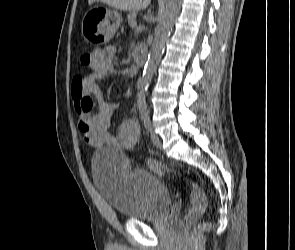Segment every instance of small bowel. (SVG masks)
Returning a JSON list of instances; mask_svg holds the SVG:
<instances>
[{
  "label": "small bowel",
  "instance_id": "small-bowel-1",
  "mask_svg": "<svg viewBox=\"0 0 295 250\" xmlns=\"http://www.w3.org/2000/svg\"><path fill=\"white\" fill-rule=\"evenodd\" d=\"M115 57L116 49L113 46L93 51L92 61L89 64L91 72L85 77L76 76L72 82V98L78 115V128L84 143L90 147L121 145L129 148L137 140V127L133 122L122 125L119 138L109 131L112 115L118 105L104 100L98 81L116 72ZM134 70L131 67L125 70V73L133 74ZM92 97L97 101L99 108L97 112L94 111Z\"/></svg>",
  "mask_w": 295,
  "mask_h": 250
}]
</instances>
